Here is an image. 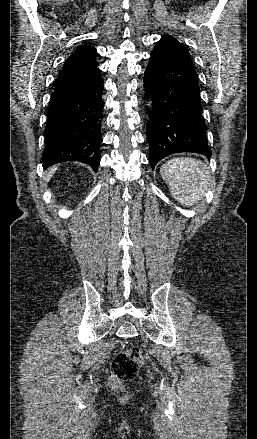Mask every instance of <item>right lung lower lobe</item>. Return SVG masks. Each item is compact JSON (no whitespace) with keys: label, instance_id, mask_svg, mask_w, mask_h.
Returning a JSON list of instances; mask_svg holds the SVG:
<instances>
[{"label":"right lung lower lobe","instance_id":"98d812e1","mask_svg":"<svg viewBox=\"0 0 257 439\" xmlns=\"http://www.w3.org/2000/svg\"><path fill=\"white\" fill-rule=\"evenodd\" d=\"M103 88L98 68L55 86L45 128L44 169L64 161H79L97 170L103 141Z\"/></svg>","mask_w":257,"mask_h":439}]
</instances>
